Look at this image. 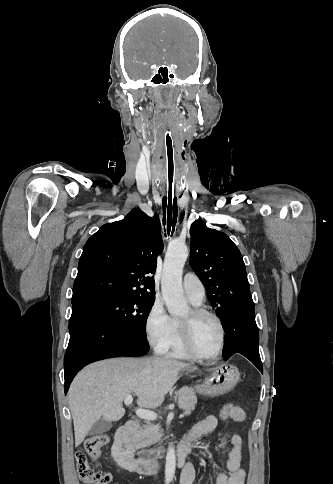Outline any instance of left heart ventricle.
Masks as SVG:
<instances>
[{
    "label": "left heart ventricle",
    "mask_w": 333,
    "mask_h": 484,
    "mask_svg": "<svg viewBox=\"0 0 333 484\" xmlns=\"http://www.w3.org/2000/svg\"><path fill=\"white\" fill-rule=\"evenodd\" d=\"M188 311L181 319L189 316ZM193 339L197 351L204 356L213 355L220 341V331L217 323L210 317H201L194 322Z\"/></svg>",
    "instance_id": "b2bd125f"
}]
</instances>
